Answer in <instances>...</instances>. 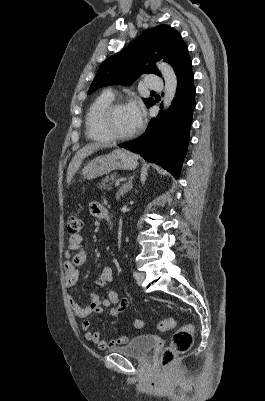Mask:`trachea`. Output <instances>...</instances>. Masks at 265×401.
<instances>
[{"mask_svg":"<svg viewBox=\"0 0 265 401\" xmlns=\"http://www.w3.org/2000/svg\"><path fill=\"white\" fill-rule=\"evenodd\" d=\"M150 93H156V92L151 91Z\"/></svg>","mask_w":265,"mask_h":401,"instance_id":"1","label":"trachea"}]
</instances>
